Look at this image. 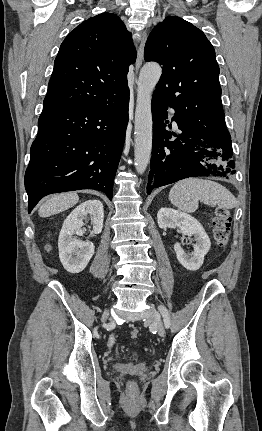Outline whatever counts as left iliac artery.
<instances>
[{
  "label": "left iliac artery",
  "instance_id": "1",
  "mask_svg": "<svg viewBox=\"0 0 262 431\" xmlns=\"http://www.w3.org/2000/svg\"><path fill=\"white\" fill-rule=\"evenodd\" d=\"M159 310L163 316V320H164V325L166 328L170 327L171 321H170V315L168 310L164 307V306H159Z\"/></svg>",
  "mask_w": 262,
  "mask_h": 431
}]
</instances>
